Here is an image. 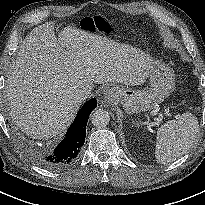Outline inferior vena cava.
I'll use <instances>...</instances> for the list:
<instances>
[{
  "mask_svg": "<svg viewBox=\"0 0 205 205\" xmlns=\"http://www.w3.org/2000/svg\"><path fill=\"white\" fill-rule=\"evenodd\" d=\"M91 92L92 89L90 87H83L81 89H77L75 91V98L77 101L82 102L90 96Z\"/></svg>",
  "mask_w": 205,
  "mask_h": 205,
  "instance_id": "602c4592",
  "label": "inferior vena cava"
}]
</instances>
